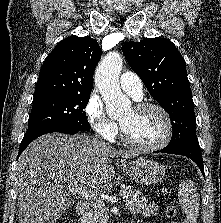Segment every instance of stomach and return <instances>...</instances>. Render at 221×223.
I'll list each match as a JSON object with an SVG mask.
<instances>
[{
    "instance_id": "stomach-1",
    "label": "stomach",
    "mask_w": 221,
    "mask_h": 223,
    "mask_svg": "<svg viewBox=\"0 0 221 223\" xmlns=\"http://www.w3.org/2000/svg\"><path fill=\"white\" fill-rule=\"evenodd\" d=\"M123 170L138 184L153 185L165 176V169L159 163L149 159H138L123 164Z\"/></svg>"
}]
</instances>
